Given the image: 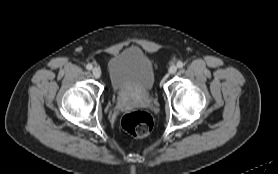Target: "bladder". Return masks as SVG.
<instances>
[{
  "mask_svg": "<svg viewBox=\"0 0 278 174\" xmlns=\"http://www.w3.org/2000/svg\"><path fill=\"white\" fill-rule=\"evenodd\" d=\"M108 73L112 91L120 98L147 97L153 90L152 62L135 47L113 56L108 62Z\"/></svg>",
  "mask_w": 278,
  "mask_h": 174,
  "instance_id": "bladder-1",
  "label": "bladder"
}]
</instances>
